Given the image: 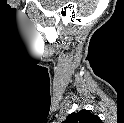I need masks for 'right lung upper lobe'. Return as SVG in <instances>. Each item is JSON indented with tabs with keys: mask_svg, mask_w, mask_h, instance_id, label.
I'll return each mask as SVG.
<instances>
[{
	"mask_svg": "<svg viewBox=\"0 0 124 123\" xmlns=\"http://www.w3.org/2000/svg\"><path fill=\"white\" fill-rule=\"evenodd\" d=\"M100 122L98 116L91 113L89 110H81L71 113L64 123H97Z\"/></svg>",
	"mask_w": 124,
	"mask_h": 123,
	"instance_id": "1",
	"label": "right lung upper lobe"
}]
</instances>
